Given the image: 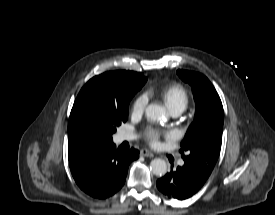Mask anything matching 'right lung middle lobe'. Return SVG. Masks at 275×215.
<instances>
[{"instance_id": "obj_1", "label": "right lung middle lobe", "mask_w": 275, "mask_h": 215, "mask_svg": "<svg viewBox=\"0 0 275 215\" xmlns=\"http://www.w3.org/2000/svg\"><path fill=\"white\" fill-rule=\"evenodd\" d=\"M141 85L129 87L116 102L107 99L95 90H87L78 95L69 117L68 146L112 141L116 127L128 118V105Z\"/></svg>"}]
</instances>
